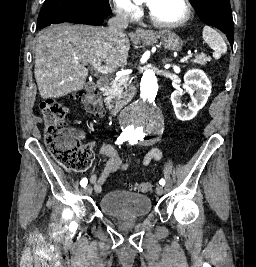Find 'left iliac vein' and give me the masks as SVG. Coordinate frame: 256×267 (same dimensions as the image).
Wrapping results in <instances>:
<instances>
[{
  "instance_id": "left-iliac-vein-1",
  "label": "left iliac vein",
  "mask_w": 256,
  "mask_h": 267,
  "mask_svg": "<svg viewBox=\"0 0 256 267\" xmlns=\"http://www.w3.org/2000/svg\"><path fill=\"white\" fill-rule=\"evenodd\" d=\"M155 191L157 195H162L164 193V188L161 185H157Z\"/></svg>"
}]
</instances>
